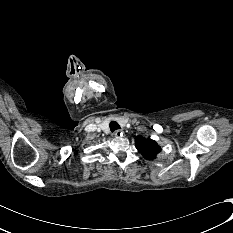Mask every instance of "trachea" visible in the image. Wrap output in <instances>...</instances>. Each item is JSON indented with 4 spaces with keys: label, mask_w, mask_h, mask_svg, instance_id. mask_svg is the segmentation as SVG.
Returning a JSON list of instances; mask_svg holds the SVG:
<instances>
[{
    "label": "trachea",
    "mask_w": 233,
    "mask_h": 233,
    "mask_svg": "<svg viewBox=\"0 0 233 233\" xmlns=\"http://www.w3.org/2000/svg\"><path fill=\"white\" fill-rule=\"evenodd\" d=\"M109 126H110V130L112 132L115 131V130L120 129L119 124L117 122H115V121L110 122Z\"/></svg>",
    "instance_id": "obj_1"
}]
</instances>
